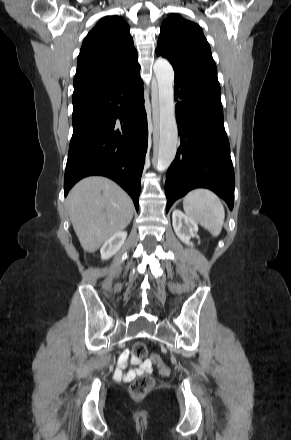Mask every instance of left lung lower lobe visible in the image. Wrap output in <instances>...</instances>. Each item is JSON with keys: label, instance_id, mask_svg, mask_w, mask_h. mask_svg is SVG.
I'll use <instances>...</instances> for the list:
<instances>
[{"label": "left lung lower lobe", "instance_id": "obj_1", "mask_svg": "<svg viewBox=\"0 0 291 440\" xmlns=\"http://www.w3.org/2000/svg\"><path fill=\"white\" fill-rule=\"evenodd\" d=\"M176 120L180 146L168 169V212L194 188H208L234 204L235 176L224 129L220 86L175 73Z\"/></svg>", "mask_w": 291, "mask_h": 440}]
</instances>
